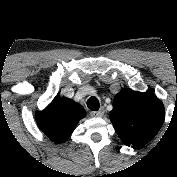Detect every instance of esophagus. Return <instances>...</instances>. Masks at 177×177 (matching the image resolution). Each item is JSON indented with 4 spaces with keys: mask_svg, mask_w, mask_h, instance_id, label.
Here are the masks:
<instances>
[{
    "mask_svg": "<svg viewBox=\"0 0 177 177\" xmlns=\"http://www.w3.org/2000/svg\"><path fill=\"white\" fill-rule=\"evenodd\" d=\"M91 116L93 117H102L104 115V109H100L99 111H92Z\"/></svg>",
    "mask_w": 177,
    "mask_h": 177,
    "instance_id": "esophagus-1",
    "label": "esophagus"
}]
</instances>
